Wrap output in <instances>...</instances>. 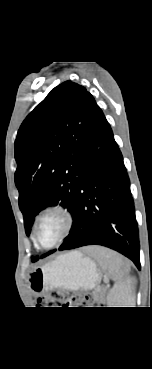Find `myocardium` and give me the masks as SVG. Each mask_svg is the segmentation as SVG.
<instances>
[{
    "label": "myocardium",
    "instance_id": "myocardium-1",
    "mask_svg": "<svg viewBox=\"0 0 152 369\" xmlns=\"http://www.w3.org/2000/svg\"><path fill=\"white\" fill-rule=\"evenodd\" d=\"M50 214H58L62 217V219H63V230H62V233L59 236V238L52 245L44 246L39 241L38 231H39V227H40V224H41L42 220ZM73 223H74L73 214L67 207H65L63 205H60V204L47 206L46 208H44L38 214V216L36 218V221H35L34 230H33V239H34L35 244L39 248L44 249V250H50V249L55 248L64 239H66L68 237V235L70 234V232L72 230Z\"/></svg>",
    "mask_w": 152,
    "mask_h": 369
}]
</instances>
